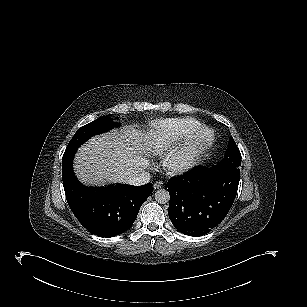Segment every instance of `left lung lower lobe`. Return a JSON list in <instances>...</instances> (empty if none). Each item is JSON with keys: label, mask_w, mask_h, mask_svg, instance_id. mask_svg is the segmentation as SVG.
<instances>
[{"label": "left lung lower lobe", "mask_w": 307, "mask_h": 307, "mask_svg": "<svg viewBox=\"0 0 307 307\" xmlns=\"http://www.w3.org/2000/svg\"><path fill=\"white\" fill-rule=\"evenodd\" d=\"M240 171L197 166L168 182V214L174 227L189 236L209 233L225 218L237 194Z\"/></svg>", "instance_id": "0a47b994"}]
</instances>
